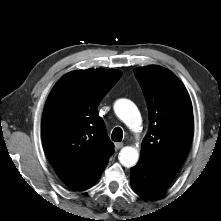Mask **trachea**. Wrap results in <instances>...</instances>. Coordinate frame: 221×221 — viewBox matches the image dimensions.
Wrapping results in <instances>:
<instances>
[{
	"instance_id": "trachea-1",
	"label": "trachea",
	"mask_w": 221,
	"mask_h": 221,
	"mask_svg": "<svg viewBox=\"0 0 221 221\" xmlns=\"http://www.w3.org/2000/svg\"><path fill=\"white\" fill-rule=\"evenodd\" d=\"M123 138V131L120 127H116L112 131L111 139L115 142H121Z\"/></svg>"
}]
</instances>
